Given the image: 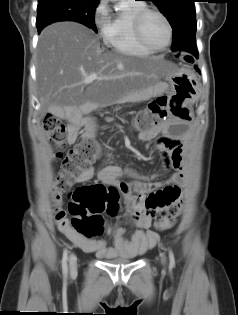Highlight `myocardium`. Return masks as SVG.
Returning a JSON list of instances; mask_svg holds the SVG:
<instances>
[{"instance_id":"f54148a6","label":"myocardium","mask_w":238,"mask_h":315,"mask_svg":"<svg viewBox=\"0 0 238 315\" xmlns=\"http://www.w3.org/2000/svg\"><path fill=\"white\" fill-rule=\"evenodd\" d=\"M149 14H156L159 17H161L162 20L164 21L166 27H167L168 39H167V42L161 47H155V46L151 45L144 38V35H143V22H144L145 18ZM133 29H134V34H135V37H136L137 41L144 48H146V49H148V50H150L152 52L163 51V50H165L166 48H168L171 45L172 38H173V28H172V25H171L169 19L167 18V16L163 12H161L160 10H157V9H154V8H144L141 11H139L134 17Z\"/></svg>"}]
</instances>
